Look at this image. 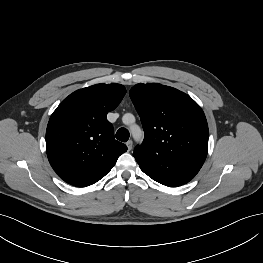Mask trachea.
Returning <instances> with one entry per match:
<instances>
[{"label":"trachea","instance_id":"trachea-1","mask_svg":"<svg viewBox=\"0 0 263 263\" xmlns=\"http://www.w3.org/2000/svg\"><path fill=\"white\" fill-rule=\"evenodd\" d=\"M129 136H130L129 131L125 128H120L116 132V138L122 142H126L129 139Z\"/></svg>","mask_w":263,"mask_h":263}]
</instances>
